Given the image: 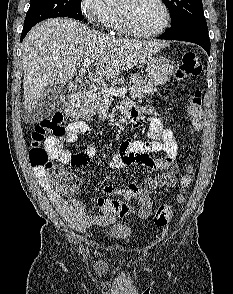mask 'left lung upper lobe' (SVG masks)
Wrapping results in <instances>:
<instances>
[{
  "label": "left lung upper lobe",
  "mask_w": 233,
  "mask_h": 294,
  "mask_svg": "<svg viewBox=\"0 0 233 294\" xmlns=\"http://www.w3.org/2000/svg\"><path fill=\"white\" fill-rule=\"evenodd\" d=\"M168 7L172 25L168 31L186 27H207L202 0H162Z\"/></svg>",
  "instance_id": "left-lung-upper-lobe-1"
}]
</instances>
